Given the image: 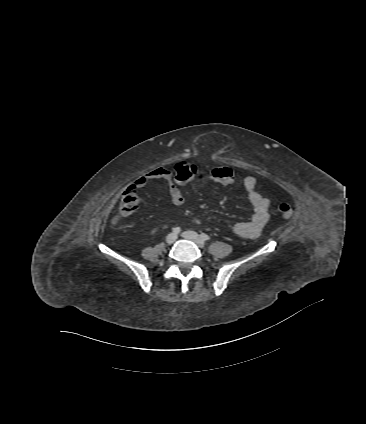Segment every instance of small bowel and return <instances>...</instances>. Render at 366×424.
I'll return each mask as SVG.
<instances>
[{
  "mask_svg": "<svg viewBox=\"0 0 366 424\" xmlns=\"http://www.w3.org/2000/svg\"><path fill=\"white\" fill-rule=\"evenodd\" d=\"M219 170L232 172V169L227 166H221ZM155 179H163L167 182L171 200L175 205L179 206L185 203V196L176 186L172 179V173L168 169L157 168L150 171L146 175L139 177L135 181V186L143 187L149 180ZM214 182L227 184L219 180H214ZM256 184L257 180L253 176H247L243 180L247 198L253 209L251 219L246 222L234 223L231 226L234 235L242 239H253L258 237L269 219V200L256 190ZM193 223L200 224L201 220L195 219Z\"/></svg>",
  "mask_w": 366,
  "mask_h": 424,
  "instance_id": "c3829d8e",
  "label": "small bowel"
}]
</instances>
